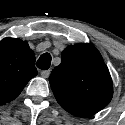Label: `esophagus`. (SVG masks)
Returning a JSON list of instances; mask_svg holds the SVG:
<instances>
[{
	"instance_id": "obj_1",
	"label": "esophagus",
	"mask_w": 125,
	"mask_h": 125,
	"mask_svg": "<svg viewBox=\"0 0 125 125\" xmlns=\"http://www.w3.org/2000/svg\"><path fill=\"white\" fill-rule=\"evenodd\" d=\"M49 75H50V70H45V71H42V72H41V76H42L43 78H48Z\"/></svg>"
}]
</instances>
